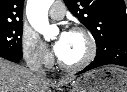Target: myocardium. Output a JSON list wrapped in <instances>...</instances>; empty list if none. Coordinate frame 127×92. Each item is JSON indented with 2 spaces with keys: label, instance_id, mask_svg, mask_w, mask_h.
<instances>
[{
  "label": "myocardium",
  "instance_id": "1",
  "mask_svg": "<svg viewBox=\"0 0 127 92\" xmlns=\"http://www.w3.org/2000/svg\"><path fill=\"white\" fill-rule=\"evenodd\" d=\"M70 33H81L85 36L87 43H88V51L85 57L75 64H67L63 62L60 58H58L57 62L59 67L67 72H78L84 68H86L96 57L97 54V42L93 35V33L86 27L77 25L73 26Z\"/></svg>",
  "mask_w": 127,
  "mask_h": 92
}]
</instances>
